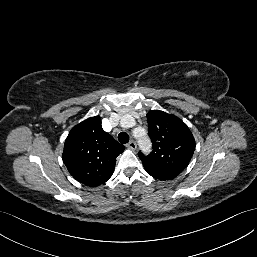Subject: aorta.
Masks as SVG:
<instances>
[{"label": "aorta", "instance_id": "obj_1", "mask_svg": "<svg viewBox=\"0 0 257 257\" xmlns=\"http://www.w3.org/2000/svg\"><path fill=\"white\" fill-rule=\"evenodd\" d=\"M132 117L130 116H124L121 120V124L124 125L125 121L127 119H131ZM134 136L136 137L137 141H138V144L140 146V148L143 150V151H149L150 148H151V142H150V139L148 138L147 136V133L146 131L143 129V128H136L134 130Z\"/></svg>", "mask_w": 257, "mask_h": 257}]
</instances>
